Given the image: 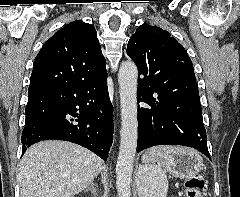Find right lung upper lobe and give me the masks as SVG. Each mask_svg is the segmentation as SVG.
Returning <instances> with one entry per match:
<instances>
[{"mask_svg":"<svg viewBox=\"0 0 240 197\" xmlns=\"http://www.w3.org/2000/svg\"><path fill=\"white\" fill-rule=\"evenodd\" d=\"M106 73L94 26L76 20L43 45L34 61L29 90L57 82L80 83Z\"/></svg>","mask_w":240,"mask_h":197,"instance_id":"1","label":"right lung upper lobe"}]
</instances>
